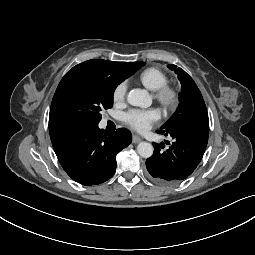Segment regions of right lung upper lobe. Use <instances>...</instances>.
<instances>
[{"instance_id":"1","label":"right lung upper lobe","mask_w":255,"mask_h":255,"mask_svg":"<svg viewBox=\"0 0 255 255\" xmlns=\"http://www.w3.org/2000/svg\"><path fill=\"white\" fill-rule=\"evenodd\" d=\"M141 63L142 62H113L103 59H92L74 66L69 72L100 71L125 80L137 71L136 69Z\"/></svg>"}]
</instances>
